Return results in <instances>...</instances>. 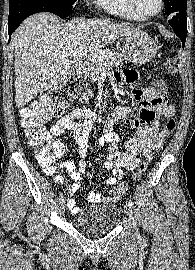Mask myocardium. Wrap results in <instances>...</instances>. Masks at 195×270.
<instances>
[{"label": "myocardium", "mask_w": 195, "mask_h": 270, "mask_svg": "<svg viewBox=\"0 0 195 270\" xmlns=\"http://www.w3.org/2000/svg\"><path fill=\"white\" fill-rule=\"evenodd\" d=\"M128 4L130 6V8L136 13L138 14L140 17H142L143 19H151L154 18L156 16H158L164 8V0H159V9L157 10V12L153 13V14H144L142 13L139 8L136 5L135 0H127Z\"/></svg>", "instance_id": "1"}]
</instances>
